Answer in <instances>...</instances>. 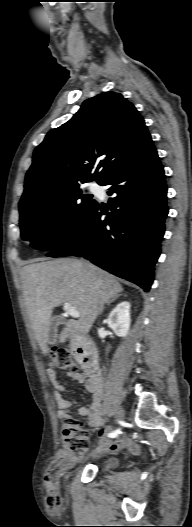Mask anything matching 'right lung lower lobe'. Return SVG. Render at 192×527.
<instances>
[{
	"label": "right lung lower lobe",
	"instance_id": "98d812e1",
	"mask_svg": "<svg viewBox=\"0 0 192 527\" xmlns=\"http://www.w3.org/2000/svg\"><path fill=\"white\" fill-rule=\"evenodd\" d=\"M101 185H109L108 194L114 195L108 202L111 212L96 203L82 227L47 256H84L147 292L168 214L164 170L153 141Z\"/></svg>",
	"mask_w": 192,
	"mask_h": 527
}]
</instances>
